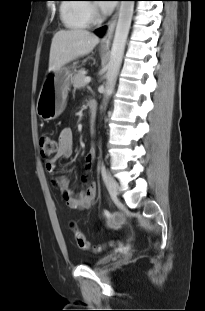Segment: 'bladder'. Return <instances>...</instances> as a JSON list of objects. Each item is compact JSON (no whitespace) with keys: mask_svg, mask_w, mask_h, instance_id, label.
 I'll return each mask as SVG.
<instances>
[{"mask_svg":"<svg viewBox=\"0 0 205 311\" xmlns=\"http://www.w3.org/2000/svg\"><path fill=\"white\" fill-rule=\"evenodd\" d=\"M114 258V255L113 254H109V255H106L102 258H99L96 262H95V266L96 267H100V266H103L105 264H108L110 261H112Z\"/></svg>","mask_w":205,"mask_h":311,"instance_id":"1","label":"bladder"}]
</instances>
